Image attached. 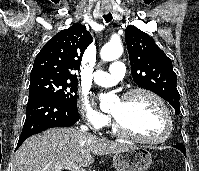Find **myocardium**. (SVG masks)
<instances>
[{
  "label": "myocardium",
  "mask_w": 199,
  "mask_h": 171,
  "mask_svg": "<svg viewBox=\"0 0 199 171\" xmlns=\"http://www.w3.org/2000/svg\"><path fill=\"white\" fill-rule=\"evenodd\" d=\"M138 94H143V95L149 96L161 108V110L165 116L166 125H167L165 134L160 138H148L145 136L138 135V134L130 131L129 129H127L118 118H116L114 115H112L113 128H114L115 132L117 134L121 135L122 137L131 139V140H134L137 142H141V143H146V144H162V143L167 142L171 138L173 129H174L173 119H172L171 112H170L167 104L157 93L153 92L150 89L143 88V87L133 88V89H130V90L124 92L121 96V100H127L135 95H138Z\"/></svg>",
  "instance_id": "f54148a6"
}]
</instances>
